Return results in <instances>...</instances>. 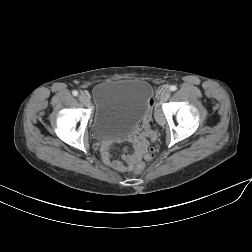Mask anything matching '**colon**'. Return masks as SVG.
I'll use <instances>...</instances> for the list:
<instances>
[{"mask_svg": "<svg viewBox=\"0 0 252 252\" xmlns=\"http://www.w3.org/2000/svg\"><path fill=\"white\" fill-rule=\"evenodd\" d=\"M152 156H153V150H151L150 153L147 154L146 159L151 160ZM144 167H145V165H144L143 162H137L135 167H134V172L136 174H139V173H141L143 171Z\"/></svg>", "mask_w": 252, "mask_h": 252, "instance_id": "colon-1", "label": "colon"}]
</instances>
